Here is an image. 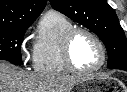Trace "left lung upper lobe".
I'll return each mask as SVG.
<instances>
[{
	"instance_id": "5c2ea615",
	"label": "left lung upper lobe",
	"mask_w": 127,
	"mask_h": 92,
	"mask_svg": "<svg viewBox=\"0 0 127 92\" xmlns=\"http://www.w3.org/2000/svg\"><path fill=\"white\" fill-rule=\"evenodd\" d=\"M51 6L96 33L108 52V67L127 66V39L106 0H50Z\"/></svg>"
}]
</instances>
